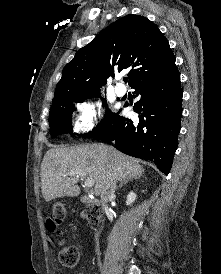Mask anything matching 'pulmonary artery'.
<instances>
[{
    "instance_id": "e3ab8cb5",
    "label": "pulmonary artery",
    "mask_w": 221,
    "mask_h": 274,
    "mask_svg": "<svg viewBox=\"0 0 221 274\" xmlns=\"http://www.w3.org/2000/svg\"><path fill=\"white\" fill-rule=\"evenodd\" d=\"M115 92L118 96H124L126 94L127 90L123 84L118 83L115 87Z\"/></svg>"
}]
</instances>
